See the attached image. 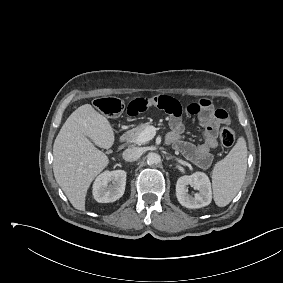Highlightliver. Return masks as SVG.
<instances>
[{
    "label": "liver",
    "mask_w": 283,
    "mask_h": 283,
    "mask_svg": "<svg viewBox=\"0 0 283 283\" xmlns=\"http://www.w3.org/2000/svg\"><path fill=\"white\" fill-rule=\"evenodd\" d=\"M110 122L90 104L78 107L65 121L53 145L54 176L77 210H85L87 190L109 164L106 154L114 143Z\"/></svg>",
    "instance_id": "obj_1"
}]
</instances>
